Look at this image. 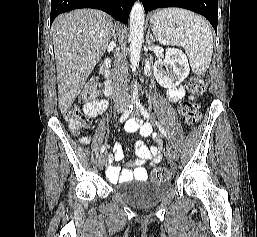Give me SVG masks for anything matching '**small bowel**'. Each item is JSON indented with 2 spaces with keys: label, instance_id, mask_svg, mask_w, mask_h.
Here are the masks:
<instances>
[{
  "label": "small bowel",
  "instance_id": "small-bowel-1",
  "mask_svg": "<svg viewBox=\"0 0 257 237\" xmlns=\"http://www.w3.org/2000/svg\"><path fill=\"white\" fill-rule=\"evenodd\" d=\"M168 99L172 102H178L185 97V89L180 87L171 88L168 90ZM108 106L105 100H95L87 102L84 105V111L89 117H96L100 113L106 110ZM125 129L128 132L140 131L141 135L149 136L152 132V127L149 124H141L136 119H130L125 124ZM88 138H83L82 142L87 143ZM157 144L160 143V139L155 138ZM136 155L137 158L133 161L136 166L135 169L124 168L121 169L118 166L109 165L106 173L112 183H119L125 180L136 179L146 180L147 171L145 165L147 163H158L161 158V151L156 146L148 147L142 142L136 143ZM123 158V150L119 144H116L113 148V153L108 156L109 162L115 160L120 161Z\"/></svg>",
  "mask_w": 257,
  "mask_h": 237
}]
</instances>
